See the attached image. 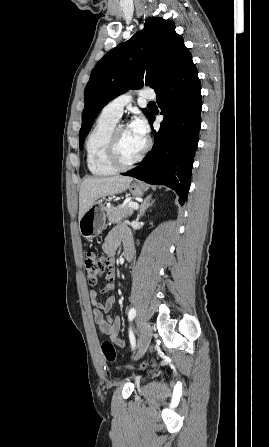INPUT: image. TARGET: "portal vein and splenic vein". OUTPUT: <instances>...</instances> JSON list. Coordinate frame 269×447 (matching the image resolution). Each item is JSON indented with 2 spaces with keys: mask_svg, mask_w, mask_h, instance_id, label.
Masks as SVG:
<instances>
[{
  "mask_svg": "<svg viewBox=\"0 0 269 447\" xmlns=\"http://www.w3.org/2000/svg\"><path fill=\"white\" fill-rule=\"evenodd\" d=\"M129 208H133V210H138L139 204L137 202H129L128 204Z\"/></svg>",
  "mask_w": 269,
  "mask_h": 447,
  "instance_id": "18ae733b",
  "label": "portal vein and splenic vein"
}]
</instances>
